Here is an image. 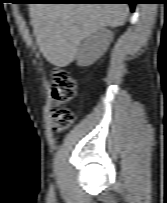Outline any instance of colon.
Returning <instances> with one entry per match:
<instances>
[{"instance_id": "obj_1", "label": "colon", "mask_w": 167, "mask_h": 203, "mask_svg": "<svg viewBox=\"0 0 167 203\" xmlns=\"http://www.w3.org/2000/svg\"><path fill=\"white\" fill-rule=\"evenodd\" d=\"M77 83L69 71L56 68L52 73V96L56 108L53 110V129L56 133L65 131L73 120L72 113L62 107L63 104L74 99Z\"/></svg>"}]
</instances>
